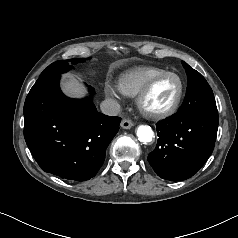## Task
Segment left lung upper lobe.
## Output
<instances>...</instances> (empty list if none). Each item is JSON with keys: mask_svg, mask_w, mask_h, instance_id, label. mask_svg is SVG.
<instances>
[{"mask_svg": "<svg viewBox=\"0 0 238 238\" xmlns=\"http://www.w3.org/2000/svg\"><path fill=\"white\" fill-rule=\"evenodd\" d=\"M182 65L187 73L188 87L185 101L178 113L191 115L203 109L216 108L213 92L205 78L184 61Z\"/></svg>", "mask_w": 238, "mask_h": 238, "instance_id": "left-lung-upper-lobe-1", "label": "left lung upper lobe"}]
</instances>
